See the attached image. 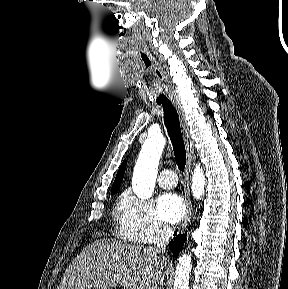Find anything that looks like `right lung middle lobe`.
<instances>
[{"mask_svg":"<svg viewBox=\"0 0 288 289\" xmlns=\"http://www.w3.org/2000/svg\"><path fill=\"white\" fill-rule=\"evenodd\" d=\"M117 192H118V190L112 191V194H115V193H117Z\"/></svg>","mask_w":288,"mask_h":289,"instance_id":"dd1d6c3e","label":"right lung middle lobe"}]
</instances>
